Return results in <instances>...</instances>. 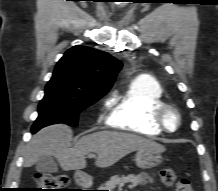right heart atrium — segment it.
<instances>
[{"instance_id":"obj_1","label":"right heart atrium","mask_w":218,"mask_h":191,"mask_svg":"<svg viewBox=\"0 0 218 191\" xmlns=\"http://www.w3.org/2000/svg\"><path fill=\"white\" fill-rule=\"evenodd\" d=\"M111 103H112L111 101H107L106 104H105V106H106V107H110V106H111Z\"/></svg>"}]
</instances>
